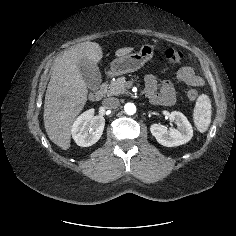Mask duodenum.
<instances>
[{
    "instance_id": "duodenum-1",
    "label": "duodenum",
    "mask_w": 236,
    "mask_h": 236,
    "mask_svg": "<svg viewBox=\"0 0 236 236\" xmlns=\"http://www.w3.org/2000/svg\"><path fill=\"white\" fill-rule=\"evenodd\" d=\"M105 94V87L102 85L100 88L92 91L90 94H89V99L92 101V102H98L102 99V97L104 96Z\"/></svg>"
}]
</instances>
